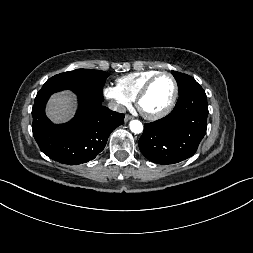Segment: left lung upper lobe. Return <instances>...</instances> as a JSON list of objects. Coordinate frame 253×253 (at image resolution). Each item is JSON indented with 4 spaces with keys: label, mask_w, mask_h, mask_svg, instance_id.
<instances>
[{
    "label": "left lung upper lobe",
    "mask_w": 253,
    "mask_h": 253,
    "mask_svg": "<svg viewBox=\"0 0 253 253\" xmlns=\"http://www.w3.org/2000/svg\"><path fill=\"white\" fill-rule=\"evenodd\" d=\"M174 78L177 81L179 93L190 87L191 84L195 83V79L187 74L181 72H172Z\"/></svg>",
    "instance_id": "1"
}]
</instances>
